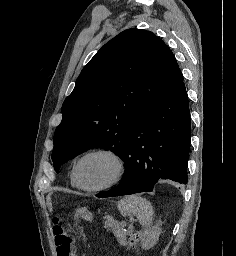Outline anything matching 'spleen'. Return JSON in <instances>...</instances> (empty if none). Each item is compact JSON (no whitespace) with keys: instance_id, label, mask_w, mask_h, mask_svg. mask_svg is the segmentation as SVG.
Wrapping results in <instances>:
<instances>
[{"instance_id":"spleen-1","label":"spleen","mask_w":236,"mask_h":256,"mask_svg":"<svg viewBox=\"0 0 236 256\" xmlns=\"http://www.w3.org/2000/svg\"><path fill=\"white\" fill-rule=\"evenodd\" d=\"M117 208L122 216H132L134 214L143 226L149 224L153 214L150 202H147L144 198H139V196H127V198L118 202Z\"/></svg>"}]
</instances>
